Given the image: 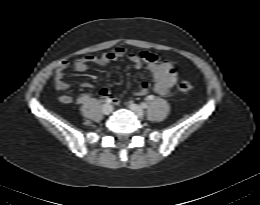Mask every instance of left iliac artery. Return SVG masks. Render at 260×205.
Here are the masks:
<instances>
[{
	"instance_id": "1",
	"label": "left iliac artery",
	"mask_w": 260,
	"mask_h": 205,
	"mask_svg": "<svg viewBox=\"0 0 260 205\" xmlns=\"http://www.w3.org/2000/svg\"><path fill=\"white\" fill-rule=\"evenodd\" d=\"M149 99L152 100L153 96H149ZM141 106H142V108H147V104L146 103H142Z\"/></svg>"
}]
</instances>
